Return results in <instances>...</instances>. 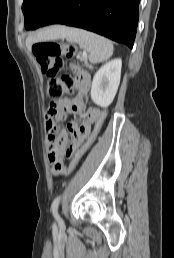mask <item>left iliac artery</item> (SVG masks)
<instances>
[{
  "label": "left iliac artery",
  "mask_w": 174,
  "mask_h": 258,
  "mask_svg": "<svg viewBox=\"0 0 174 258\" xmlns=\"http://www.w3.org/2000/svg\"><path fill=\"white\" fill-rule=\"evenodd\" d=\"M60 199H61V196H57L53 203H52V206H51V210H52V213L55 217L58 216V205H59V202H60Z\"/></svg>",
  "instance_id": "44dca946"
}]
</instances>
